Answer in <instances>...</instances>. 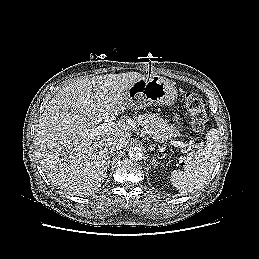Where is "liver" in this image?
Segmentation results:
<instances>
[{
    "label": "liver",
    "instance_id": "6515ba94",
    "mask_svg": "<svg viewBox=\"0 0 259 259\" xmlns=\"http://www.w3.org/2000/svg\"><path fill=\"white\" fill-rule=\"evenodd\" d=\"M141 78L137 72L82 78L56 93L39 119L33 141L52 184L73 194H87L102 185L109 165L107 142L115 138L126 146L132 127L120 120L92 138L86 132L123 114L129 108L124 93Z\"/></svg>",
    "mask_w": 259,
    "mask_h": 259
}]
</instances>
